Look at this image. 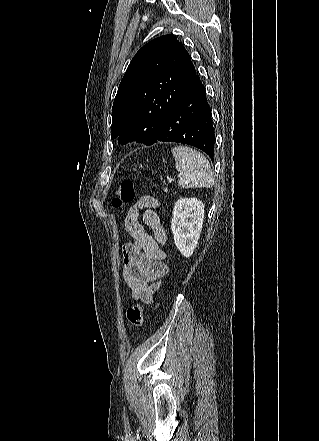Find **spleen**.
<instances>
[{"label": "spleen", "instance_id": "3e777b00", "mask_svg": "<svg viewBox=\"0 0 319 441\" xmlns=\"http://www.w3.org/2000/svg\"><path fill=\"white\" fill-rule=\"evenodd\" d=\"M176 170L181 173L178 185L182 188H210L214 185V174L206 157L188 146L172 149Z\"/></svg>", "mask_w": 319, "mask_h": 441}]
</instances>
